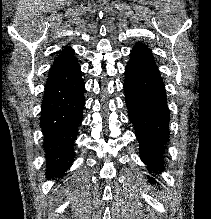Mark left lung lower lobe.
Masks as SVG:
<instances>
[{"instance_id":"0a47b994","label":"left lung lower lobe","mask_w":211,"mask_h":219,"mask_svg":"<svg viewBox=\"0 0 211 219\" xmlns=\"http://www.w3.org/2000/svg\"><path fill=\"white\" fill-rule=\"evenodd\" d=\"M125 101L140 143V157L150 171H160L169 137L170 114L165 86L150 49L137 43L125 68ZM153 183L154 180L150 179Z\"/></svg>"}]
</instances>
